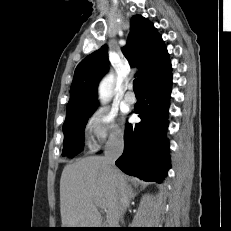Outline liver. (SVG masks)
Masks as SVG:
<instances>
[{
    "instance_id": "1",
    "label": "liver",
    "mask_w": 231,
    "mask_h": 231,
    "mask_svg": "<svg viewBox=\"0 0 231 231\" xmlns=\"http://www.w3.org/2000/svg\"><path fill=\"white\" fill-rule=\"evenodd\" d=\"M119 187L127 190V177L111 173L104 157L89 156L64 167L60 179V212L66 228H100L102 217L94 202L101 201L109 226H117Z\"/></svg>"
}]
</instances>
